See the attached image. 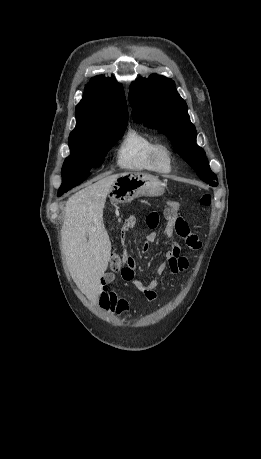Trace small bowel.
<instances>
[{"instance_id": "1", "label": "small bowel", "mask_w": 261, "mask_h": 459, "mask_svg": "<svg viewBox=\"0 0 261 459\" xmlns=\"http://www.w3.org/2000/svg\"><path fill=\"white\" fill-rule=\"evenodd\" d=\"M137 225V219L135 216L128 217L123 226L122 233L125 234L127 231L133 229ZM177 233L183 238L187 245L193 249L200 247V242L194 234H192L185 224L183 230L179 231L172 221H168L165 227V234L169 239L174 238V233ZM157 240V233L152 231L146 236V240L143 244V251H148L149 245ZM125 266L120 272L121 279L132 285L137 289L144 297L150 301L155 302L157 300V285L158 278L166 270L173 275H177L188 267V259L186 256L181 254V249L178 243L174 240L171 244V249L166 253L165 260L156 269L155 276L146 282L140 281L135 278V260L132 257H124ZM115 276L112 273H107L102 277V288L100 290L98 300L102 309L112 314L123 316L129 310V299L120 295L117 292L110 289V284L114 281Z\"/></svg>"}]
</instances>
